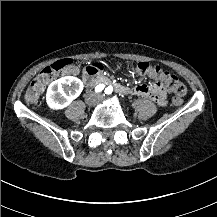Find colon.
<instances>
[{"instance_id":"5ec220e1","label":"colon","mask_w":217,"mask_h":217,"mask_svg":"<svg viewBox=\"0 0 217 217\" xmlns=\"http://www.w3.org/2000/svg\"><path fill=\"white\" fill-rule=\"evenodd\" d=\"M81 70V63L77 57H69L64 60L55 61L51 65L45 68H41L38 71L39 76L35 78L28 86L24 100L29 106H33L38 103L41 92L44 87H47L52 79H56L63 74L78 73ZM133 74L137 76H149L157 81L158 88L163 90L169 88L181 95H187L186 85L174 74L161 69L150 68L149 64L143 61H138L133 67ZM156 96V95H154ZM184 99L178 96H172V102L174 104H181Z\"/></svg>"}]
</instances>
